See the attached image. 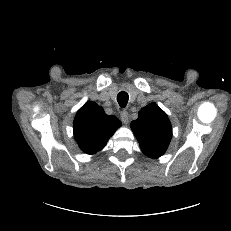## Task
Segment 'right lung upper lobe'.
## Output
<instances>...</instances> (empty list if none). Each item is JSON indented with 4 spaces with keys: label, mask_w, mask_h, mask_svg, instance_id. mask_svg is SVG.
<instances>
[{
    "label": "right lung upper lobe",
    "mask_w": 231,
    "mask_h": 231,
    "mask_svg": "<svg viewBox=\"0 0 231 231\" xmlns=\"http://www.w3.org/2000/svg\"><path fill=\"white\" fill-rule=\"evenodd\" d=\"M121 125L115 116L106 115L101 106L89 101L78 110L75 116L74 138L83 152L95 154L103 149Z\"/></svg>",
    "instance_id": "cb5924a9"
}]
</instances>
